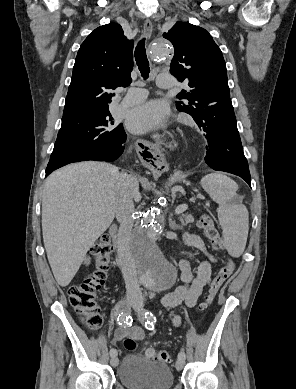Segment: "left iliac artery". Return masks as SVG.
I'll return each mask as SVG.
<instances>
[{
  "label": "left iliac artery",
  "instance_id": "obj_1",
  "mask_svg": "<svg viewBox=\"0 0 296 389\" xmlns=\"http://www.w3.org/2000/svg\"><path fill=\"white\" fill-rule=\"evenodd\" d=\"M144 318L146 319L145 321V327L149 330L154 329V324L156 322V317L149 311L145 312ZM185 352L184 350H181L178 354V359H184L185 360Z\"/></svg>",
  "mask_w": 296,
  "mask_h": 389
}]
</instances>
